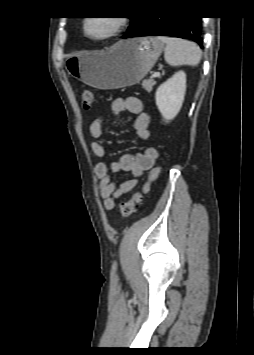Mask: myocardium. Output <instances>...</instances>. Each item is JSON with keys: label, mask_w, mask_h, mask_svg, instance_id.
Returning <instances> with one entry per match:
<instances>
[{"label": "myocardium", "mask_w": 254, "mask_h": 355, "mask_svg": "<svg viewBox=\"0 0 254 355\" xmlns=\"http://www.w3.org/2000/svg\"><path fill=\"white\" fill-rule=\"evenodd\" d=\"M94 18H98V16H89L84 20L83 33L87 38H89L91 40H95V41L107 40V39H110V38L116 36L117 34H119L122 31V29L125 27V25L127 23V19L123 16L102 17V18H107L112 22V24H113L112 29L108 33H106L105 35L92 36L87 31V25H88L89 21Z\"/></svg>", "instance_id": "obj_1"}]
</instances>
